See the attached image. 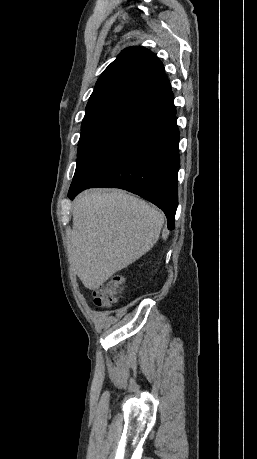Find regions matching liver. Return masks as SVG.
I'll return each instance as SVG.
<instances>
[{"instance_id":"liver-1","label":"liver","mask_w":257,"mask_h":459,"mask_svg":"<svg viewBox=\"0 0 257 459\" xmlns=\"http://www.w3.org/2000/svg\"><path fill=\"white\" fill-rule=\"evenodd\" d=\"M164 216L121 190H88L74 202L70 264L90 289L146 254L159 239Z\"/></svg>"}]
</instances>
